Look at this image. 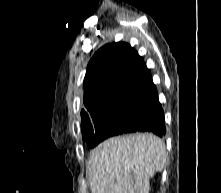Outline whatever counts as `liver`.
Segmentation results:
<instances>
[{
    "mask_svg": "<svg viewBox=\"0 0 221 193\" xmlns=\"http://www.w3.org/2000/svg\"><path fill=\"white\" fill-rule=\"evenodd\" d=\"M165 163V143L153 134L109 138L91 151L87 162L91 193H149V179Z\"/></svg>",
    "mask_w": 221,
    "mask_h": 193,
    "instance_id": "6515ba94",
    "label": "liver"
}]
</instances>
